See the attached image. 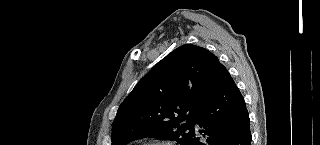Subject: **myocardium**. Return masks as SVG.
<instances>
[{
  "instance_id": "f54148a6",
  "label": "myocardium",
  "mask_w": 320,
  "mask_h": 145,
  "mask_svg": "<svg viewBox=\"0 0 320 145\" xmlns=\"http://www.w3.org/2000/svg\"><path fill=\"white\" fill-rule=\"evenodd\" d=\"M143 145H168L166 143H160V142H148V143H145Z\"/></svg>"
}]
</instances>
